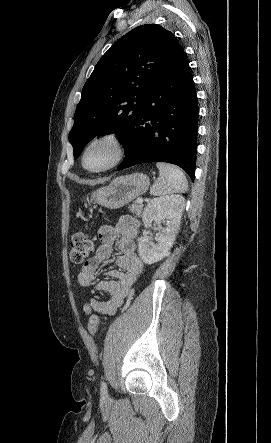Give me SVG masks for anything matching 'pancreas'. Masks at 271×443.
I'll return each instance as SVG.
<instances>
[{"label":"pancreas","mask_w":271,"mask_h":443,"mask_svg":"<svg viewBox=\"0 0 271 443\" xmlns=\"http://www.w3.org/2000/svg\"><path fill=\"white\" fill-rule=\"evenodd\" d=\"M130 212H132V214H136V216H138V218H140L141 214H142V210H143V206L142 204H137V202H133L131 208H129Z\"/></svg>","instance_id":"cf45deb5"}]
</instances>
